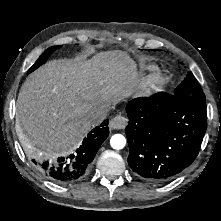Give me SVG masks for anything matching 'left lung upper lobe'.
Returning <instances> with one entry per match:
<instances>
[{
  "mask_svg": "<svg viewBox=\"0 0 221 221\" xmlns=\"http://www.w3.org/2000/svg\"><path fill=\"white\" fill-rule=\"evenodd\" d=\"M174 95L180 99L197 101L206 100L203 90L191 71L188 72L184 81H182V83L174 90Z\"/></svg>",
  "mask_w": 221,
  "mask_h": 221,
  "instance_id": "left-lung-upper-lobe-1",
  "label": "left lung upper lobe"
}]
</instances>
